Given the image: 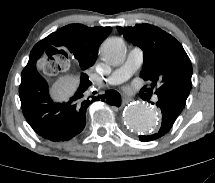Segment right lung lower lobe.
<instances>
[{"label":"right lung lower lobe","mask_w":215,"mask_h":183,"mask_svg":"<svg viewBox=\"0 0 215 183\" xmlns=\"http://www.w3.org/2000/svg\"><path fill=\"white\" fill-rule=\"evenodd\" d=\"M39 57L30 54L21 74L19 96L27 122L43 138L67 141L79 134L85 127L86 110L94 101L101 100L117 107L121 105L120 94L114 90H107L103 95H91L92 83L85 73L81 74L79 87L68 102H54L49 96L47 82L36 70Z\"/></svg>","instance_id":"right-lung-lower-lobe-1"}]
</instances>
